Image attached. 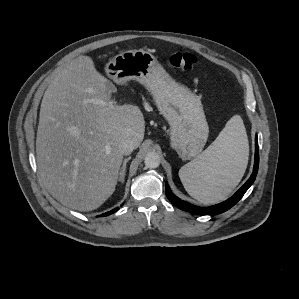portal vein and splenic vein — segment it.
<instances>
[{"label": "portal vein and splenic vein", "mask_w": 299, "mask_h": 299, "mask_svg": "<svg viewBox=\"0 0 299 299\" xmlns=\"http://www.w3.org/2000/svg\"><path fill=\"white\" fill-rule=\"evenodd\" d=\"M88 102L94 103V104H99V105H107L104 101L98 100V99H89L87 100Z\"/></svg>", "instance_id": "obj_1"}]
</instances>
